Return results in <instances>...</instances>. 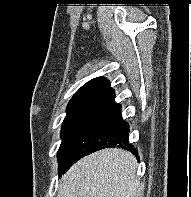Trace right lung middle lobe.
I'll use <instances>...</instances> for the list:
<instances>
[{
  "mask_svg": "<svg viewBox=\"0 0 191 197\" xmlns=\"http://www.w3.org/2000/svg\"><path fill=\"white\" fill-rule=\"evenodd\" d=\"M92 109H82L67 112V115L62 123L61 127V138L62 143L57 152L58 157V168L60 170L59 175L61 176L62 168L66 163V160L70 156V150L73 143L76 140L78 132L80 131L83 122L89 115Z\"/></svg>",
  "mask_w": 191,
  "mask_h": 197,
  "instance_id": "dd1d6c3e",
  "label": "right lung middle lobe"
}]
</instances>
